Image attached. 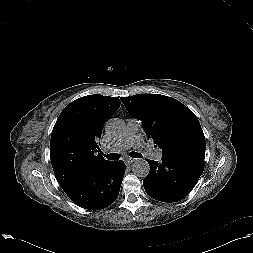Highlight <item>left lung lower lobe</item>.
<instances>
[{"label": "left lung lower lobe", "instance_id": "left-lung-lower-lobe-1", "mask_svg": "<svg viewBox=\"0 0 253 253\" xmlns=\"http://www.w3.org/2000/svg\"><path fill=\"white\" fill-rule=\"evenodd\" d=\"M150 172L143 180L146 193L162 202H177L197 184L204 170V158L193 155L162 156V161L147 160Z\"/></svg>", "mask_w": 253, "mask_h": 253}]
</instances>
